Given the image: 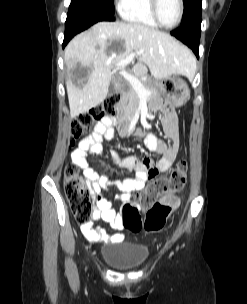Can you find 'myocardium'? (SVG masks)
Returning a JSON list of instances; mask_svg holds the SVG:
<instances>
[{
  "label": "myocardium",
  "instance_id": "myocardium-1",
  "mask_svg": "<svg viewBox=\"0 0 247 304\" xmlns=\"http://www.w3.org/2000/svg\"><path fill=\"white\" fill-rule=\"evenodd\" d=\"M178 2H179V16H178L176 23L172 26H166L161 22L160 17H159L160 0H150L151 13H152V16H153L155 22L158 24V26H160L164 29L171 30V29L176 28L181 23V21L183 19V15H184V1L178 0Z\"/></svg>",
  "mask_w": 247,
  "mask_h": 304
}]
</instances>
